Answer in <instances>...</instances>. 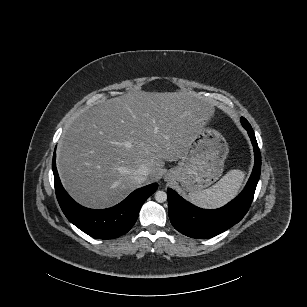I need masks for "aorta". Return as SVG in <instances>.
Returning <instances> with one entry per match:
<instances>
[{
	"label": "aorta",
	"mask_w": 307,
	"mask_h": 307,
	"mask_svg": "<svg viewBox=\"0 0 307 307\" xmlns=\"http://www.w3.org/2000/svg\"><path fill=\"white\" fill-rule=\"evenodd\" d=\"M155 200L157 202H165L167 200V194L163 190H159L155 193Z\"/></svg>",
	"instance_id": "1"
}]
</instances>
